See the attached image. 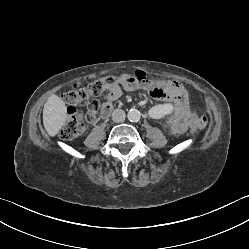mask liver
Returning <instances> with one entry per match:
<instances>
[{"label": "liver", "instance_id": "liver-1", "mask_svg": "<svg viewBox=\"0 0 249 249\" xmlns=\"http://www.w3.org/2000/svg\"><path fill=\"white\" fill-rule=\"evenodd\" d=\"M65 102L57 95H51L43 109V124L47 133L54 137L67 119Z\"/></svg>", "mask_w": 249, "mask_h": 249}]
</instances>
